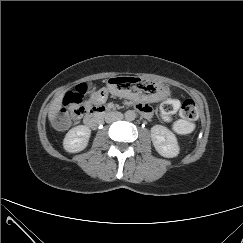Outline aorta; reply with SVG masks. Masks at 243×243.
<instances>
[{"instance_id":"762f6f07","label":"aorta","mask_w":243,"mask_h":243,"mask_svg":"<svg viewBox=\"0 0 243 243\" xmlns=\"http://www.w3.org/2000/svg\"><path fill=\"white\" fill-rule=\"evenodd\" d=\"M136 118V112L134 110H128L125 112V119L127 121H133Z\"/></svg>"}]
</instances>
